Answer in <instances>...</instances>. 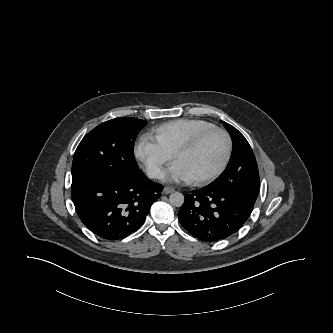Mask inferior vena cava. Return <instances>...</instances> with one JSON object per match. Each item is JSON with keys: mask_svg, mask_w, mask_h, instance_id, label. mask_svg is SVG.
I'll use <instances>...</instances> for the list:
<instances>
[{"mask_svg": "<svg viewBox=\"0 0 333 333\" xmlns=\"http://www.w3.org/2000/svg\"><path fill=\"white\" fill-rule=\"evenodd\" d=\"M146 174L149 178L157 179H161L164 176L163 171L157 166L147 167Z\"/></svg>", "mask_w": 333, "mask_h": 333, "instance_id": "602c4592", "label": "inferior vena cava"}]
</instances>
